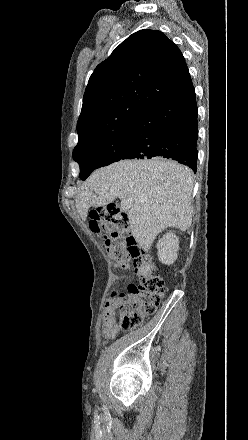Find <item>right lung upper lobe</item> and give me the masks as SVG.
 <instances>
[{
    "label": "right lung upper lobe",
    "mask_w": 248,
    "mask_h": 440,
    "mask_svg": "<svg viewBox=\"0 0 248 440\" xmlns=\"http://www.w3.org/2000/svg\"><path fill=\"white\" fill-rule=\"evenodd\" d=\"M193 88L181 51L162 32L140 30L130 35L89 79L75 149L127 126L151 106Z\"/></svg>",
    "instance_id": "cb5924a9"
}]
</instances>
